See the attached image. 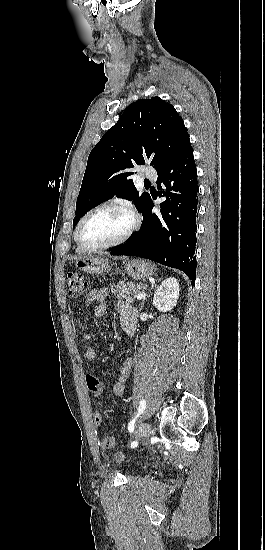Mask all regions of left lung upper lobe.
<instances>
[{"instance_id":"left-lung-upper-lobe-1","label":"left lung upper lobe","mask_w":265,"mask_h":550,"mask_svg":"<svg viewBox=\"0 0 265 550\" xmlns=\"http://www.w3.org/2000/svg\"><path fill=\"white\" fill-rule=\"evenodd\" d=\"M188 141L184 122L171 104L159 97L130 104L88 157L73 226L114 195L133 200L144 215L151 196L140 195L129 176L147 160L159 172Z\"/></svg>"}]
</instances>
